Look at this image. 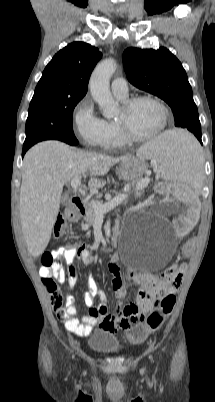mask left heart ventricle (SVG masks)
<instances>
[{"label": "left heart ventricle", "mask_w": 215, "mask_h": 402, "mask_svg": "<svg viewBox=\"0 0 215 402\" xmlns=\"http://www.w3.org/2000/svg\"><path fill=\"white\" fill-rule=\"evenodd\" d=\"M122 112L120 111V117ZM130 130L139 136L155 132L162 124L163 114L159 106L151 101H141L127 115Z\"/></svg>", "instance_id": "1"}]
</instances>
